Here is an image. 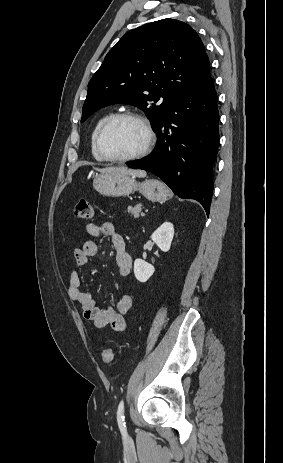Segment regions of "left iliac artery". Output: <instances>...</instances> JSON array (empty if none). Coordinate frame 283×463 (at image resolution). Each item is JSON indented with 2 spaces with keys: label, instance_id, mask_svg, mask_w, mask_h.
<instances>
[{
  "label": "left iliac artery",
  "instance_id": "left-iliac-artery-1",
  "mask_svg": "<svg viewBox=\"0 0 283 463\" xmlns=\"http://www.w3.org/2000/svg\"><path fill=\"white\" fill-rule=\"evenodd\" d=\"M117 421H118L120 431L122 432L123 435H126L127 432H126V425H125V420H124V401L123 400H121L118 406Z\"/></svg>",
  "mask_w": 283,
  "mask_h": 463
}]
</instances>
